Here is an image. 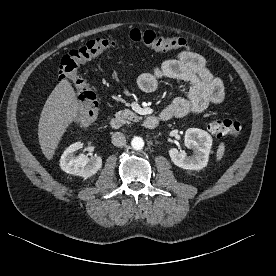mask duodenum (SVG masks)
I'll return each mask as SVG.
<instances>
[{
	"instance_id": "410a0bca",
	"label": "duodenum",
	"mask_w": 276,
	"mask_h": 276,
	"mask_svg": "<svg viewBox=\"0 0 276 276\" xmlns=\"http://www.w3.org/2000/svg\"><path fill=\"white\" fill-rule=\"evenodd\" d=\"M168 120L167 117L161 116H149L144 119L143 125L146 129H155L160 122ZM110 127L114 130H119L122 127V121L119 117H111L109 119Z\"/></svg>"
}]
</instances>
